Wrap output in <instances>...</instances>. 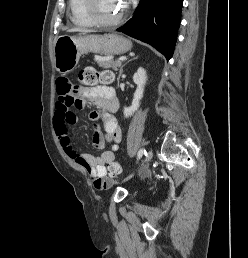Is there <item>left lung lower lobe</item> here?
I'll use <instances>...</instances> for the list:
<instances>
[{"label": "left lung lower lobe", "mask_w": 248, "mask_h": 258, "mask_svg": "<svg viewBox=\"0 0 248 258\" xmlns=\"http://www.w3.org/2000/svg\"><path fill=\"white\" fill-rule=\"evenodd\" d=\"M183 0H140L132 18L117 31L152 45L172 57Z\"/></svg>", "instance_id": "0a47b994"}]
</instances>
